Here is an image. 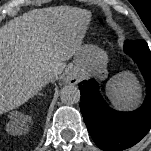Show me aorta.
<instances>
[{
	"label": "aorta",
	"instance_id": "aorta-1",
	"mask_svg": "<svg viewBox=\"0 0 151 151\" xmlns=\"http://www.w3.org/2000/svg\"><path fill=\"white\" fill-rule=\"evenodd\" d=\"M60 99L63 104L73 105L80 100V91L78 87L73 85L65 86L61 89Z\"/></svg>",
	"mask_w": 151,
	"mask_h": 151
}]
</instances>
